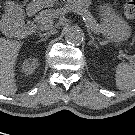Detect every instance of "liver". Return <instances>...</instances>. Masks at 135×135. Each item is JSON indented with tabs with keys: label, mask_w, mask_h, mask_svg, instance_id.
<instances>
[{
	"label": "liver",
	"mask_w": 135,
	"mask_h": 135,
	"mask_svg": "<svg viewBox=\"0 0 135 135\" xmlns=\"http://www.w3.org/2000/svg\"><path fill=\"white\" fill-rule=\"evenodd\" d=\"M22 47L20 41L0 37V93L6 96L17 91L15 64Z\"/></svg>",
	"instance_id": "1"
}]
</instances>
